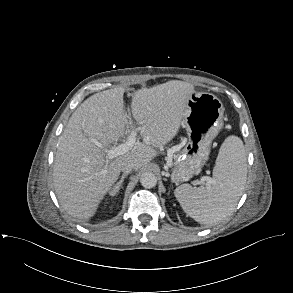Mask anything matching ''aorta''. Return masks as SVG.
<instances>
[{
  "label": "aorta",
  "mask_w": 293,
  "mask_h": 293,
  "mask_svg": "<svg viewBox=\"0 0 293 293\" xmlns=\"http://www.w3.org/2000/svg\"><path fill=\"white\" fill-rule=\"evenodd\" d=\"M140 182L144 188L150 189L156 186L157 177L152 172H145L141 175Z\"/></svg>",
  "instance_id": "762f6f07"
}]
</instances>
